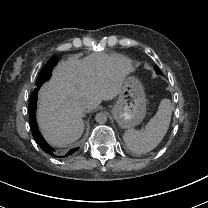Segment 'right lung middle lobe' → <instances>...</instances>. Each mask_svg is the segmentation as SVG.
I'll return each instance as SVG.
<instances>
[{
    "instance_id": "1",
    "label": "right lung middle lobe",
    "mask_w": 208,
    "mask_h": 208,
    "mask_svg": "<svg viewBox=\"0 0 208 208\" xmlns=\"http://www.w3.org/2000/svg\"><path fill=\"white\" fill-rule=\"evenodd\" d=\"M43 71V70H42ZM42 71H41V73H40V75H39V77H38V80H37V82H36V86L38 87V85H40V83H41V81H43L44 82V75L42 74Z\"/></svg>"
}]
</instances>
